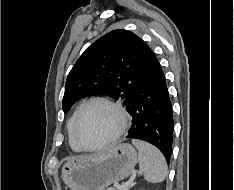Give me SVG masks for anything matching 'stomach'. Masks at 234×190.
Wrapping results in <instances>:
<instances>
[{"mask_svg":"<svg viewBox=\"0 0 234 190\" xmlns=\"http://www.w3.org/2000/svg\"><path fill=\"white\" fill-rule=\"evenodd\" d=\"M137 160L135 148L120 143L96 155L70 159L62 167V180L71 190H105L127 178Z\"/></svg>","mask_w":234,"mask_h":190,"instance_id":"0dacf381","label":"stomach"}]
</instances>
